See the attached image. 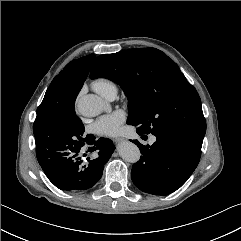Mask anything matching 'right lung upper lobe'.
<instances>
[{
    "label": "right lung upper lobe",
    "instance_id": "1",
    "mask_svg": "<svg viewBox=\"0 0 241 241\" xmlns=\"http://www.w3.org/2000/svg\"><path fill=\"white\" fill-rule=\"evenodd\" d=\"M95 58L94 54H90L67 64L53 79L43 100L61 108L74 106Z\"/></svg>",
    "mask_w": 241,
    "mask_h": 241
}]
</instances>
